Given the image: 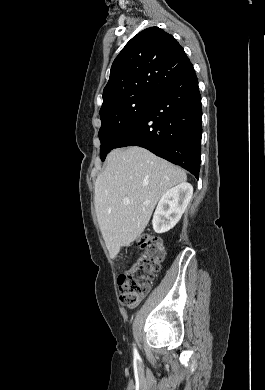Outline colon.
I'll return each instance as SVG.
<instances>
[{"instance_id": "obj_1", "label": "colon", "mask_w": 265, "mask_h": 390, "mask_svg": "<svg viewBox=\"0 0 265 390\" xmlns=\"http://www.w3.org/2000/svg\"><path fill=\"white\" fill-rule=\"evenodd\" d=\"M139 246L141 253L118 279L120 301L128 306L147 295L164 258L162 241L154 234H143Z\"/></svg>"}]
</instances>
